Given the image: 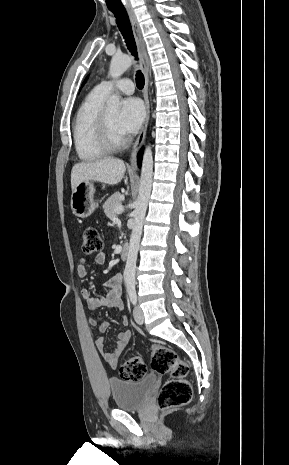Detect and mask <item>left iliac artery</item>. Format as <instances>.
Here are the masks:
<instances>
[{
    "label": "left iliac artery",
    "instance_id": "left-iliac-artery-1",
    "mask_svg": "<svg viewBox=\"0 0 289 465\" xmlns=\"http://www.w3.org/2000/svg\"><path fill=\"white\" fill-rule=\"evenodd\" d=\"M129 297H130V301L132 302L133 305H135L137 303V294L135 291H130L129 292Z\"/></svg>",
    "mask_w": 289,
    "mask_h": 465
}]
</instances>
